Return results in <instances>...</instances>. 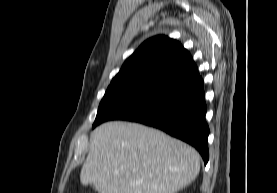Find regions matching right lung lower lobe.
Returning <instances> with one entry per match:
<instances>
[{
	"label": "right lung lower lobe",
	"mask_w": 277,
	"mask_h": 193,
	"mask_svg": "<svg viewBox=\"0 0 277 193\" xmlns=\"http://www.w3.org/2000/svg\"><path fill=\"white\" fill-rule=\"evenodd\" d=\"M203 80L198 71L149 93L110 120H128L158 128L194 146L209 159Z\"/></svg>",
	"instance_id": "right-lung-lower-lobe-1"
}]
</instances>
